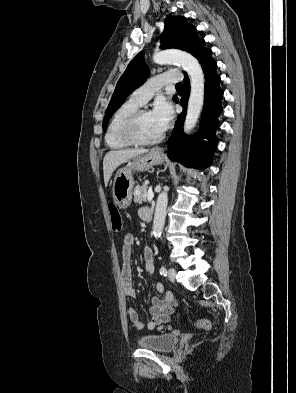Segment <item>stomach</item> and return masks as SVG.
Instances as JSON below:
<instances>
[{"label":"stomach","mask_w":296,"mask_h":393,"mask_svg":"<svg viewBox=\"0 0 296 393\" xmlns=\"http://www.w3.org/2000/svg\"><path fill=\"white\" fill-rule=\"evenodd\" d=\"M164 160L165 156L163 154L151 151L133 158L126 167L118 169L112 186L115 204L121 209H125L131 204L132 190L135 184L132 171H147L155 165L162 164Z\"/></svg>","instance_id":"0dacf381"}]
</instances>
